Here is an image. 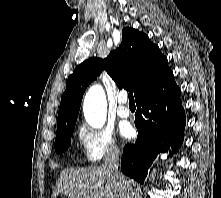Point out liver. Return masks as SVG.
<instances>
[{"mask_svg":"<svg viewBox=\"0 0 221 198\" xmlns=\"http://www.w3.org/2000/svg\"><path fill=\"white\" fill-rule=\"evenodd\" d=\"M59 194L69 198H124L122 188L103 166L62 171L53 197Z\"/></svg>","mask_w":221,"mask_h":198,"instance_id":"1","label":"liver"}]
</instances>
